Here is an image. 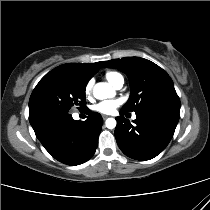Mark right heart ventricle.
<instances>
[{"label":"right heart ventricle","instance_id":"1","mask_svg":"<svg viewBox=\"0 0 210 210\" xmlns=\"http://www.w3.org/2000/svg\"><path fill=\"white\" fill-rule=\"evenodd\" d=\"M105 78L114 85L119 79L123 78L122 75L116 71H108L105 73Z\"/></svg>","mask_w":210,"mask_h":210}]
</instances>
